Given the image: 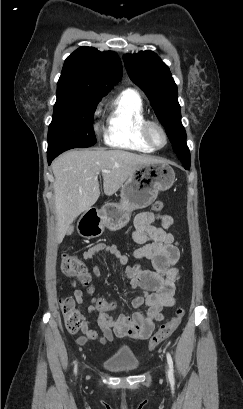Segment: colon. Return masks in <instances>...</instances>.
Instances as JSON below:
<instances>
[{"label":"colon","instance_id":"obj_1","mask_svg":"<svg viewBox=\"0 0 243 409\" xmlns=\"http://www.w3.org/2000/svg\"><path fill=\"white\" fill-rule=\"evenodd\" d=\"M163 207V203L161 201H157L153 204L152 209L154 212H159L163 209ZM60 269L64 275L77 278L83 286L90 290L87 268L79 259L66 253L62 254ZM98 305L104 308L108 307V304L104 302H99ZM79 306V303L72 297H63L60 300V308L64 319V325L71 333H76L82 325V314ZM184 313L185 310L183 308H179L176 316L168 323L162 325L150 338L147 349L153 350L161 342L169 338L180 325Z\"/></svg>","mask_w":243,"mask_h":409}]
</instances>
